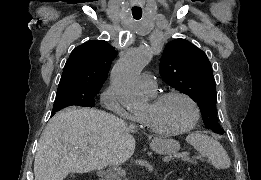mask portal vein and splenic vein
<instances>
[{"instance_id": "portal-vein-and-splenic-vein-1", "label": "portal vein and splenic vein", "mask_w": 261, "mask_h": 180, "mask_svg": "<svg viewBox=\"0 0 261 180\" xmlns=\"http://www.w3.org/2000/svg\"><path fill=\"white\" fill-rule=\"evenodd\" d=\"M178 155L182 156V159L179 160V163H184V161H190V156L188 152H182V154ZM116 174H118V176H126V172L125 170H122V168H118V170H116Z\"/></svg>"}]
</instances>
